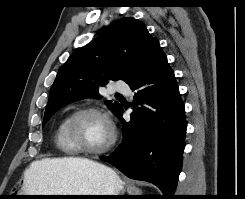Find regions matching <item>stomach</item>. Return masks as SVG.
Listing matches in <instances>:
<instances>
[{
	"mask_svg": "<svg viewBox=\"0 0 245 199\" xmlns=\"http://www.w3.org/2000/svg\"><path fill=\"white\" fill-rule=\"evenodd\" d=\"M125 182L111 168L98 163L96 166L77 168L68 174H54L49 177L48 191L44 194H28L23 188L14 195H120ZM22 198V197H20ZM88 197H39L38 199H78Z\"/></svg>",
	"mask_w": 245,
	"mask_h": 199,
	"instance_id": "obj_1",
	"label": "stomach"
}]
</instances>
